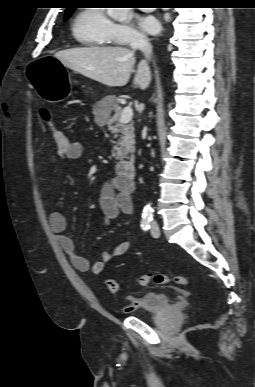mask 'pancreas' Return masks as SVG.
<instances>
[{"label":"pancreas","instance_id":"cf45deb5","mask_svg":"<svg viewBox=\"0 0 255 387\" xmlns=\"http://www.w3.org/2000/svg\"><path fill=\"white\" fill-rule=\"evenodd\" d=\"M101 105H107V108L104 111L99 110L97 116L103 119V124H106L108 129L112 133H115L116 137H119L118 141L115 142L111 154L116 160H122L126 158L129 153L135 151L133 123L123 124L119 122L122 108L114 95L105 97L98 103V106ZM112 110L114 111V115L110 117L109 114Z\"/></svg>","mask_w":255,"mask_h":387}]
</instances>
